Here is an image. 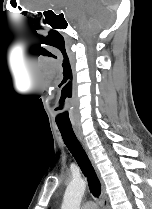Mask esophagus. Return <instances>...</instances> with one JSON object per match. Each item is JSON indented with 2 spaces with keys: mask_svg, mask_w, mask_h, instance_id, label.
I'll use <instances>...</instances> for the list:
<instances>
[{
  "mask_svg": "<svg viewBox=\"0 0 152 209\" xmlns=\"http://www.w3.org/2000/svg\"><path fill=\"white\" fill-rule=\"evenodd\" d=\"M75 133H76V136L78 137L79 141L81 142L85 152L87 153L89 159L93 163V159H92L90 150L88 149L82 135L77 130H75ZM101 200H102V204H103V209H109L108 199H107V195H106V192H105V187H104L103 184H102V187H101Z\"/></svg>",
  "mask_w": 152,
  "mask_h": 209,
  "instance_id": "esophagus-1",
  "label": "esophagus"
}]
</instances>
